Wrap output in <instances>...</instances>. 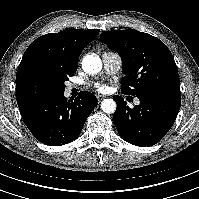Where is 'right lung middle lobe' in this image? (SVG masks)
<instances>
[{
  "instance_id": "right-lung-middle-lobe-1",
  "label": "right lung middle lobe",
  "mask_w": 199,
  "mask_h": 199,
  "mask_svg": "<svg viewBox=\"0 0 199 199\" xmlns=\"http://www.w3.org/2000/svg\"><path fill=\"white\" fill-rule=\"evenodd\" d=\"M73 75H65L33 65L23 70L16 81L17 101L64 93V82Z\"/></svg>"
}]
</instances>
